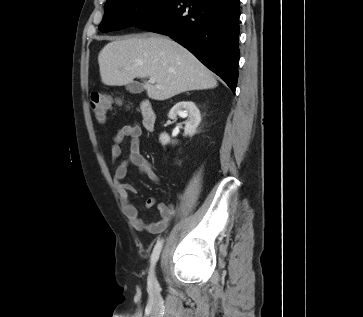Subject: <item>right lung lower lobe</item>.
I'll use <instances>...</instances> for the list:
<instances>
[{
	"mask_svg": "<svg viewBox=\"0 0 363 317\" xmlns=\"http://www.w3.org/2000/svg\"><path fill=\"white\" fill-rule=\"evenodd\" d=\"M239 0H176L135 27L168 35L235 92L239 62Z\"/></svg>",
	"mask_w": 363,
	"mask_h": 317,
	"instance_id": "right-lung-lower-lobe-1",
	"label": "right lung lower lobe"
}]
</instances>
